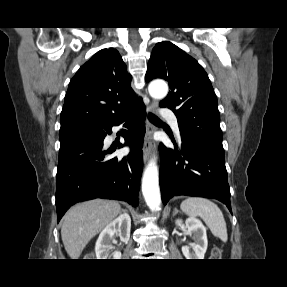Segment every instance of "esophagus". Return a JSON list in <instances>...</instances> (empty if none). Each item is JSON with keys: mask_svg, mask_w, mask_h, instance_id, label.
Returning <instances> with one entry per match:
<instances>
[{"mask_svg": "<svg viewBox=\"0 0 287 287\" xmlns=\"http://www.w3.org/2000/svg\"><path fill=\"white\" fill-rule=\"evenodd\" d=\"M158 109V103L156 101H152L148 106V113H156ZM155 131L154 125L150 122V120L146 119V133H145V141L143 145V159L146 163L151 155L153 149V140L152 136Z\"/></svg>", "mask_w": 287, "mask_h": 287, "instance_id": "obj_1", "label": "esophagus"}]
</instances>
